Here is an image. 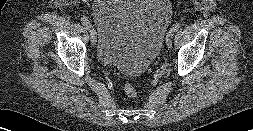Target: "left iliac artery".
<instances>
[{"instance_id":"44dca946","label":"left iliac artery","mask_w":253,"mask_h":131,"mask_svg":"<svg viewBox=\"0 0 253 131\" xmlns=\"http://www.w3.org/2000/svg\"><path fill=\"white\" fill-rule=\"evenodd\" d=\"M180 26H181V23L176 22V23L173 24V26L171 27L170 30L173 31V32H176L180 28Z\"/></svg>"}]
</instances>
